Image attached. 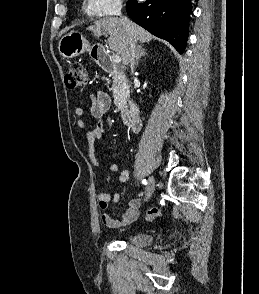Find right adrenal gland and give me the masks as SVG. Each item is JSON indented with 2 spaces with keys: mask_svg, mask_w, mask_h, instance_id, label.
I'll return each mask as SVG.
<instances>
[{
  "mask_svg": "<svg viewBox=\"0 0 259 294\" xmlns=\"http://www.w3.org/2000/svg\"><path fill=\"white\" fill-rule=\"evenodd\" d=\"M147 55L145 49H143L142 45H139L137 47V54H136V59H135V65L138 66L139 64V60L141 59V57Z\"/></svg>",
  "mask_w": 259,
  "mask_h": 294,
  "instance_id": "1",
  "label": "right adrenal gland"
}]
</instances>
